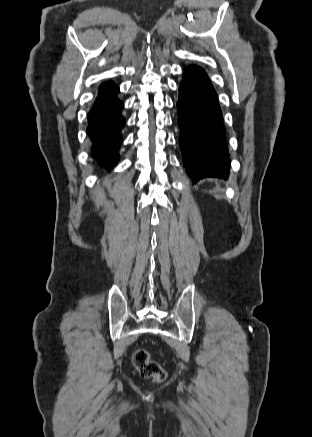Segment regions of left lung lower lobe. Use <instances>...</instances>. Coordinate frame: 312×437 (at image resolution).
<instances>
[{"instance_id": "left-lung-lower-lobe-1", "label": "left lung lower lobe", "mask_w": 312, "mask_h": 437, "mask_svg": "<svg viewBox=\"0 0 312 437\" xmlns=\"http://www.w3.org/2000/svg\"><path fill=\"white\" fill-rule=\"evenodd\" d=\"M179 87V145L188 175L227 178L230 160L218 96L205 71L189 66Z\"/></svg>"}]
</instances>
